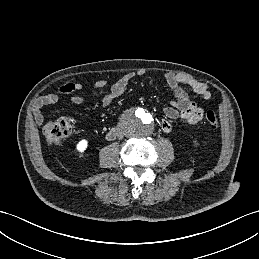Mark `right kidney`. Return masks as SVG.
<instances>
[{
	"label": "right kidney",
	"mask_w": 259,
	"mask_h": 259,
	"mask_svg": "<svg viewBox=\"0 0 259 259\" xmlns=\"http://www.w3.org/2000/svg\"><path fill=\"white\" fill-rule=\"evenodd\" d=\"M87 146H88V141L86 139H82L81 141L78 142L76 149L79 152H84L86 150Z\"/></svg>",
	"instance_id": "1"
}]
</instances>
